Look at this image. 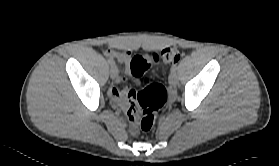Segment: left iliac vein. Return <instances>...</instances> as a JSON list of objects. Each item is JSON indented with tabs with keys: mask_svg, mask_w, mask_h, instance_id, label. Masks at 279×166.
Wrapping results in <instances>:
<instances>
[{
	"mask_svg": "<svg viewBox=\"0 0 279 166\" xmlns=\"http://www.w3.org/2000/svg\"><path fill=\"white\" fill-rule=\"evenodd\" d=\"M177 83H178V75H177L176 71H173L169 75V84L171 86H176Z\"/></svg>",
	"mask_w": 279,
	"mask_h": 166,
	"instance_id": "4c4485c4",
	"label": "left iliac vein"
}]
</instances>
